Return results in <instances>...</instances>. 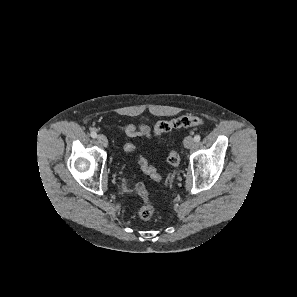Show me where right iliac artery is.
Returning <instances> with one entry per match:
<instances>
[{"label": "right iliac artery", "mask_w": 297, "mask_h": 297, "mask_svg": "<svg viewBox=\"0 0 297 297\" xmlns=\"http://www.w3.org/2000/svg\"><path fill=\"white\" fill-rule=\"evenodd\" d=\"M90 136H91L92 138H96V137H97V133H96L95 131H92V132L90 133Z\"/></svg>", "instance_id": "obj_1"}]
</instances>
